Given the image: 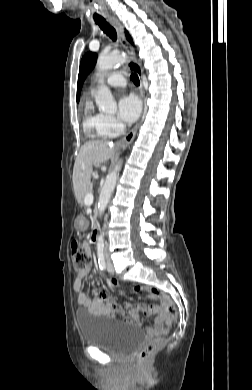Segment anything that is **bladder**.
<instances>
[{"mask_svg": "<svg viewBox=\"0 0 252 390\" xmlns=\"http://www.w3.org/2000/svg\"><path fill=\"white\" fill-rule=\"evenodd\" d=\"M83 341L115 354H125L144 340V334L136 327L101 315L77 313Z\"/></svg>", "mask_w": 252, "mask_h": 390, "instance_id": "31cf9c89", "label": "bladder"}]
</instances>
